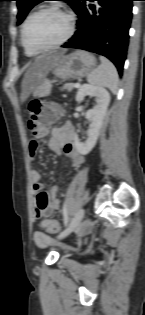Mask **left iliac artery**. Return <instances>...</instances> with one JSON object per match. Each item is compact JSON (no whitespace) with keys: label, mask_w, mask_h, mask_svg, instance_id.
Wrapping results in <instances>:
<instances>
[{"label":"left iliac artery","mask_w":145,"mask_h":315,"mask_svg":"<svg viewBox=\"0 0 145 315\" xmlns=\"http://www.w3.org/2000/svg\"><path fill=\"white\" fill-rule=\"evenodd\" d=\"M63 217H64V225L67 226L68 222H69V216H68V212H67V204H64L63 207Z\"/></svg>","instance_id":"44dca946"}]
</instances>
